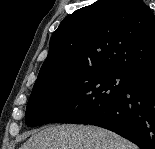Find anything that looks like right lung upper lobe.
Here are the masks:
<instances>
[{
    "label": "right lung upper lobe",
    "mask_w": 155,
    "mask_h": 149,
    "mask_svg": "<svg viewBox=\"0 0 155 149\" xmlns=\"http://www.w3.org/2000/svg\"><path fill=\"white\" fill-rule=\"evenodd\" d=\"M155 69V16L141 0H98L67 16L53 33L35 83L73 72Z\"/></svg>",
    "instance_id": "1"
}]
</instances>
